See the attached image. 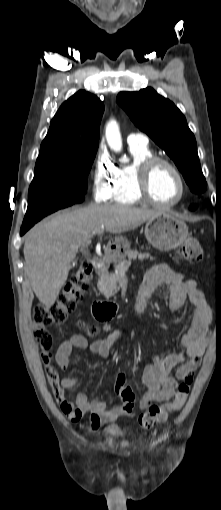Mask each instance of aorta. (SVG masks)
Returning <instances> with one entry per match:
<instances>
[{
    "label": "aorta",
    "instance_id": "aorta-1",
    "mask_svg": "<svg viewBox=\"0 0 221 510\" xmlns=\"http://www.w3.org/2000/svg\"><path fill=\"white\" fill-rule=\"evenodd\" d=\"M105 136L109 147L115 152H120L122 149V138L119 126L115 120H111L108 122L106 126Z\"/></svg>",
    "mask_w": 221,
    "mask_h": 510
}]
</instances>
